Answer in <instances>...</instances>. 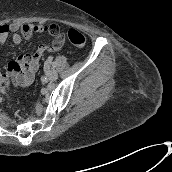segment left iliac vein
Here are the masks:
<instances>
[{"mask_svg":"<svg viewBox=\"0 0 172 172\" xmlns=\"http://www.w3.org/2000/svg\"><path fill=\"white\" fill-rule=\"evenodd\" d=\"M46 75L50 81H55L58 78V73L54 69H49V63H46Z\"/></svg>","mask_w":172,"mask_h":172,"instance_id":"4c4485c4","label":"left iliac vein"}]
</instances>
